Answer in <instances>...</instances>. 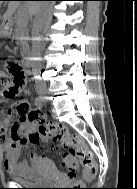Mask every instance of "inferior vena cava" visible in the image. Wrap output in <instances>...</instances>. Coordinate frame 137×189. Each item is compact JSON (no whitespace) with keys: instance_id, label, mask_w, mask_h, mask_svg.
<instances>
[{"instance_id":"602c4592","label":"inferior vena cava","mask_w":137,"mask_h":189,"mask_svg":"<svg viewBox=\"0 0 137 189\" xmlns=\"http://www.w3.org/2000/svg\"><path fill=\"white\" fill-rule=\"evenodd\" d=\"M50 2L46 1L43 2V5L36 13L33 27H32V52L33 55L39 56L41 51V42L38 39L39 33L43 28V24L45 21V18L49 14V7ZM35 72L33 75L35 76L36 80L35 83L37 85V88H48L46 80L48 79L45 77V67L44 62L37 61L35 62Z\"/></svg>"}]
</instances>
